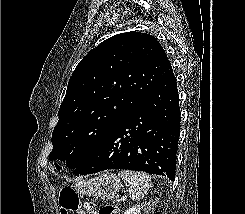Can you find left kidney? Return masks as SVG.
I'll return each instance as SVG.
<instances>
[{
  "label": "left kidney",
  "mask_w": 245,
  "mask_h": 214,
  "mask_svg": "<svg viewBox=\"0 0 245 214\" xmlns=\"http://www.w3.org/2000/svg\"><path fill=\"white\" fill-rule=\"evenodd\" d=\"M143 208V205H136L134 207H131L127 209L123 214H142L141 210Z\"/></svg>",
  "instance_id": "obj_1"
}]
</instances>
